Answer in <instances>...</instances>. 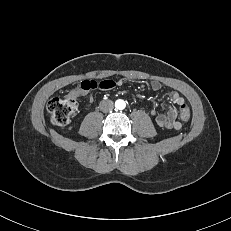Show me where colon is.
I'll return each instance as SVG.
<instances>
[{"instance_id": "obj_1", "label": "colon", "mask_w": 231, "mask_h": 231, "mask_svg": "<svg viewBox=\"0 0 231 231\" xmlns=\"http://www.w3.org/2000/svg\"><path fill=\"white\" fill-rule=\"evenodd\" d=\"M77 96L70 93L63 97H55L47 104V110L50 114L51 122L56 126L67 125L77 110ZM180 118L188 121L190 118L189 107L183 106L180 111Z\"/></svg>"}]
</instances>
